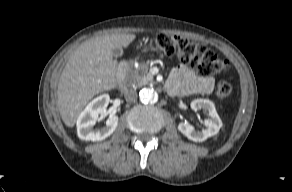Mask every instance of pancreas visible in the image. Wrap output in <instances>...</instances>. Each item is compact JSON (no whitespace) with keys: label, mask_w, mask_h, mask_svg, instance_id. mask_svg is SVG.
<instances>
[{"label":"pancreas","mask_w":292,"mask_h":192,"mask_svg":"<svg viewBox=\"0 0 292 192\" xmlns=\"http://www.w3.org/2000/svg\"><path fill=\"white\" fill-rule=\"evenodd\" d=\"M149 62L141 63L137 68L129 70L127 79L130 84L141 86L153 82V75L148 72Z\"/></svg>","instance_id":"1"}]
</instances>
